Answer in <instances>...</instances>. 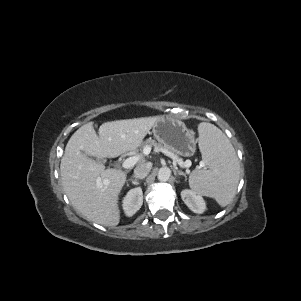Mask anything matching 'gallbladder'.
<instances>
[{
  "instance_id": "obj_1",
  "label": "gallbladder",
  "mask_w": 301,
  "mask_h": 301,
  "mask_svg": "<svg viewBox=\"0 0 301 301\" xmlns=\"http://www.w3.org/2000/svg\"><path fill=\"white\" fill-rule=\"evenodd\" d=\"M98 162L105 163L103 159H97Z\"/></svg>"
}]
</instances>
